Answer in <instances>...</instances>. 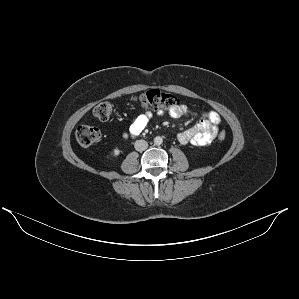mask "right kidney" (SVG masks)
<instances>
[{"instance_id": "right-kidney-1", "label": "right kidney", "mask_w": 299, "mask_h": 299, "mask_svg": "<svg viewBox=\"0 0 299 299\" xmlns=\"http://www.w3.org/2000/svg\"><path fill=\"white\" fill-rule=\"evenodd\" d=\"M120 154V150L119 149H114L110 155L112 156H118Z\"/></svg>"}]
</instances>
